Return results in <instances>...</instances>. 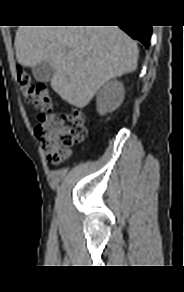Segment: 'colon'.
I'll return each instance as SVG.
<instances>
[{"instance_id": "obj_1", "label": "colon", "mask_w": 184, "mask_h": 292, "mask_svg": "<svg viewBox=\"0 0 184 292\" xmlns=\"http://www.w3.org/2000/svg\"><path fill=\"white\" fill-rule=\"evenodd\" d=\"M17 82L26 101L40 111L35 135L47 160L53 164L63 162L69 156L70 148L86 138L87 128L82 112L74 109L70 113L54 114L47 86L33 83L31 76L20 67Z\"/></svg>"}]
</instances>
